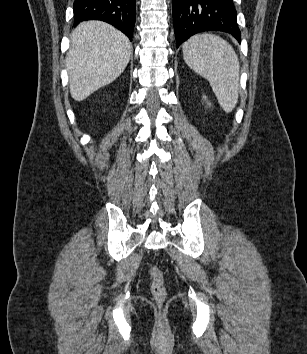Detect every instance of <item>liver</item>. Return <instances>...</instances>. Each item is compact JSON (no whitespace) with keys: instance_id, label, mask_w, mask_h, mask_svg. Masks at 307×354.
I'll return each instance as SVG.
<instances>
[{"instance_id":"1","label":"liver","mask_w":307,"mask_h":354,"mask_svg":"<svg viewBox=\"0 0 307 354\" xmlns=\"http://www.w3.org/2000/svg\"><path fill=\"white\" fill-rule=\"evenodd\" d=\"M131 48L129 39L105 22L80 23L66 57L72 98L83 101L117 79L129 62Z\"/></svg>"}]
</instances>
